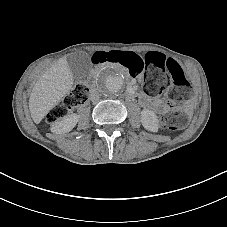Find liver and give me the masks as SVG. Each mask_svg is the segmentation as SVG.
Here are the masks:
<instances>
[{
	"label": "liver",
	"instance_id": "liver-1",
	"mask_svg": "<svg viewBox=\"0 0 227 227\" xmlns=\"http://www.w3.org/2000/svg\"><path fill=\"white\" fill-rule=\"evenodd\" d=\"M73 75L65 58H61L36 82L29 98V111L38 124L71 90Z\"/></svg>",
	"mask_w": 227,
	"mask_h": 227
}]
</instances>
